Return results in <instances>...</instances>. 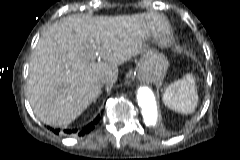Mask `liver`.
<instances>
[{
  "mask_svg": "<svg viewBox=\"0 0 240 160\" xmlns=\"http://www.w3.org/2000/svg\"><path fill=\"white\" fill-rule=\"evenodd\" d=\"M167 31L156 13L54 23L30 60L27 93L35 115L46 124H70L100 95L103 78L115 82L118 65L142 54L147 41L162 43Z\"/></svg>",
  "mask_w": 240,
  "mask_h": 160,
  "instance_id": "1",
  "label": "liver"
}]
</instances>
